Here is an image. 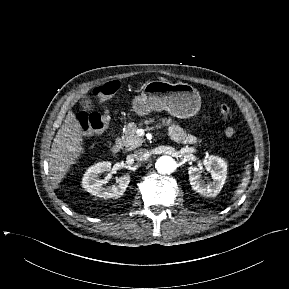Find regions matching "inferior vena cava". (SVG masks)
Returning a JSON list of instances; mask_svg holds the SVG:
<instances>
[{"label":"inferior vena cava","mask_w":289,"mask_h":289,"mask_svg":"<svg viewBox=\"0 0 289 289\" xmlns=\"http://www.w3.org/2000/svg\"><path fill=\"white\" fill-rule=\"evenodd\" d=\"M137 161H146L149 158V152L146 149H139L132 155Z\"/></svg>","instance_id":"obj_1"}]
</instances>
